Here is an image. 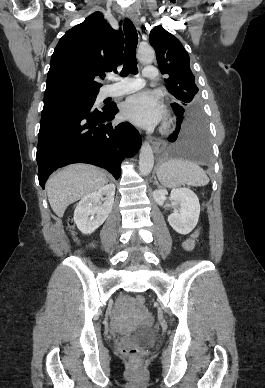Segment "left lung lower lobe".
Wrapping results in <instances>:
<instances>
[{"mask_svg": "<svg viewBox=\"0 0 265 388\" xmlns=\"http://www.w3.org/2000/svg\"><path fill=\"white\" fill-rule=\"evenodd\" d=\"M177 116V127L168 140L173 143L167 150L169 157L189 159L201 164L210 161V140L205 117L200 109H184L171 105Z\"/></svg>", "mask_w": 265, "mask_h": 388, "instance_id": "left-lung-lower-lobe-1", "label": "left lung lower lobe"}]
</instances>
